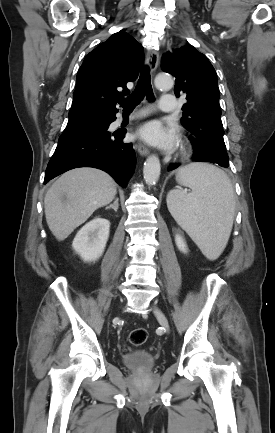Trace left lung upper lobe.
Wrapping results in <instances>:
<instances>
[{"instance_id":"1","label":"left lung upper lobe","mask_w":275,"mask_h":433,"mask_svg":"<svg viewBox=\"0 0 275 433\" xmlns=\"http://www.w3.org/2000/svg\"><path fill=\"white\" fill-rule=\"evenodd\" d=\"M162 68L172 74L177 97L186 95L183 126L196 152L194 161L228 164L224 143L217 74L208 58L192 45H186L162 59Z\"/></svg>"}]
</instances>
